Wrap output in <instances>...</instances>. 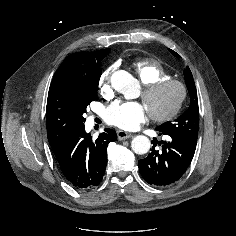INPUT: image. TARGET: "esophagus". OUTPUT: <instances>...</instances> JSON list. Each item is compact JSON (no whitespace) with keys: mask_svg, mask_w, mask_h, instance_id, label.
I'll use <instances>...</instances> for the list:
<instances>
[{"mask_svg":"<svg viewBox=\"0 0 236 236\" xmlns=\"http://www.w3.org/2000/svg\"><path fill=\"white\" fill-rule=\"evenodd\" d=\"M117 136L119 140H124L132 137V134L123 130H118L117 131Z\"/></svg>","mask_w":236,"mask_h":236,"instance_id":"obj_1","label":"esophagus"}]
</instances>
